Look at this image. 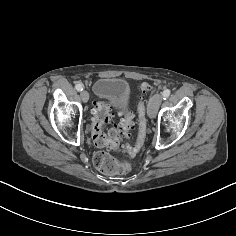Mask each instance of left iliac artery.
I'll return each mask as SVG.
<instances>
[{
  "instance_id": "1",
  "label": "left iliac artery",
  "mask_w": 236,
  "mask_h": 236,
  "mask_svg": "<svg viewBox=\"0 0 236 236\" xmlns=\"http://www.w3.org/2000/svg\"><path fill=\"white\" fill-rule=\"evenodd\" d=\"M171 91L169 89H165L162 93L163 99H167L170 95Z\"/></svg>"
}]
</instances>
